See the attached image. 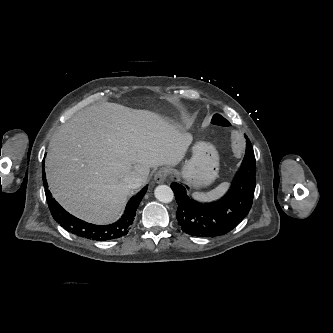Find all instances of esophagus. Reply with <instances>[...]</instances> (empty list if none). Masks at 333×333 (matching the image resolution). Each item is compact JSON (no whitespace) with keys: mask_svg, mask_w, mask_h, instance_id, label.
<instances>
[{"mask_svg":"<svg viewBox=\"0 0 333 333\" xmlns=\"http://www.w3.org/2000/svg\"><path fill=\"white\" fill-rule=\"evenodd\" d=\"M168 176V171L166 169H160L158 170L154 175V180L157 183H163Z\"/></svg>","mask_w":333,"mask_h":333,"instance_id":"34e87169","label":"esophagus"}]
</instances>
